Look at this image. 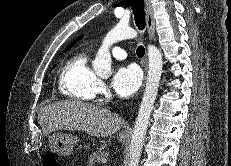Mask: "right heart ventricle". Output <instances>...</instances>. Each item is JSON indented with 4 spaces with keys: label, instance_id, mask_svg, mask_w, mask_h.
<instances>
[{
    "label": "right heart ventricle",
    "instance_id": "right-heart-ventricle-1",
    "mask_svg": "<svg viewBox=\"0 0 231 166\" xmlns=\"http://www.w3.org/2000/svg\"><path fill=\"white\" fill-rule=\"evenodd\" d=\"M97 81L98 78L89 65L88 52L80 51L72 55L61 68L59 91L71 100L90 101L96 95Z\"/></svg>",
    "mask_w": 231,
    "mask_h": 166
}]
</instances>
